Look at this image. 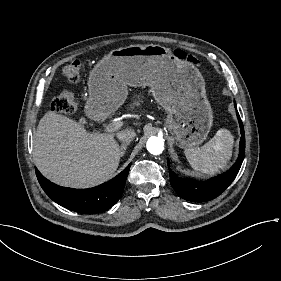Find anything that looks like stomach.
Listing matches in <instances>:
<instances>
[{"label": "stomach", "mask_w": 281, "mask_h": 281, "mask_svg": "<svg viewBox=\"0 0 281 281\" xmlns=\"http://www.w3.org/2000/svg\"><path fill=\"white\" fill-rule=\"evenodd\" d=\"M128 86H150L167 112L165 126L181 148H194L207 138L213 111L205 80L190 61L160 45H131L114 49L91 70L86 116L106 118L126 100Z\"/></svg>", "instance_id": "1"}]
</instances>
